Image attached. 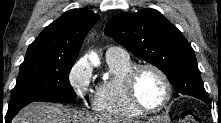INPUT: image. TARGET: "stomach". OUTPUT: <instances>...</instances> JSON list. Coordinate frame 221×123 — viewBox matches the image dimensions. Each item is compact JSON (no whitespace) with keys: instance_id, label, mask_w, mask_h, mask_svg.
Masks as SVG:
<instances>
[{"instance_id":"1","label":"stomach","mask_w":221,"mask_h":123,"mask_svg":"<svg viewBox=\"0 0 221 123\" xmlns=\"http://www.w3.org/2000/svg\"><path fill=\"white\" fill-rule=\"evenodd\" d=\"M160 120L158 118L151 119L148 123H159Z\"/></svg>"}]
</instances>
